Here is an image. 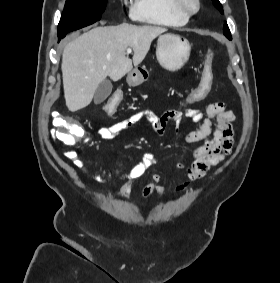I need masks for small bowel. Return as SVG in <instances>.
<instances>
[{
  "instance_id": "small-bowel-1",
  "label": "small bowel",
  "mask_w": 280,
  "mask_h": 283,
  "mask_svg": "<svg viewBox=\"0 0 280 283\" xmlns=\"http://www.w3.org/2000/svg\"><path fill=\"white\" fill-rule=\"evenodd\" d=\"M184 107V106H183ZM115 111V110H114ZM184 118H188L196 123L199 127L189 131L183 139L185 144H203L197 146L193 151V161L186 165L183 162H177L176 168L182 171L188 178V181L179 185L177 191H186L193 182L203 178L209 169L223 162L232 152L233 139V122L235 115L232 111L226 110L225 104L216 102L209 104L205 112L193 108H186L185 112L181 110H171L161 116L152 114L149 111H138L128 118L110 126L100 127L96 131V136L104 141H110L118 137L123 131L131 128L142 120L148 121L151 126L163 132L169 123L179 126ZM83 142L89 144L94 137L83 132ZM66 157L72 161L75 168L83 174H91L94 177L102 176L94 168H89L80 159L79 153L75 150L66 152ZM156 163V158L152 153H145L139 159L137 164L128 171L116 172L113 174L121 182L119 196L128 198L133 185L145 174L148 168ZM154 194L164 195L165 184L161 174L152 175L142 190L145 199H150Z\"/></svg>"
}]
</instances>
